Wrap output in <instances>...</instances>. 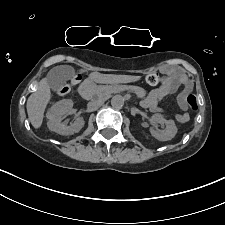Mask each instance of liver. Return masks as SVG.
Listing matches in <instances>:
<instances>
[{
    "label": "liver",
    "mask_w": 225,
    "mask_h": 225,
    "mask_svg": "<svg viewBox=\"0 0 225 225\" xmlns=\"http://www.w3.org/2000/svg\"><path fill=\"white\" fill-rule=\"evenodd\" d=\"M86 72L85 69L79 70V73ZM90 80L96 83H123L136 81L138 77H128L122 75L100 74L99 72H92ZM51 99L50 87L47 78H43L38 83L37 89L32 93L26 104L29 121L35 129L41 127L45 109Z\"/></svg>",
    "instance_id": "6515ba94"
}]
</instances>
